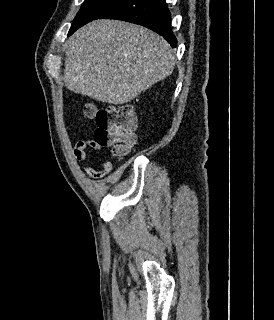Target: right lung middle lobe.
<instances>
[{"label": "right lung middle lobe", "instance_id": "dd1d6c3e", "mask_svg": "<svg viewBox=\"0 0 274 320\" xmlns=\"http://www.w3.org/2000/svg\"><path fill=\"white\" fill-rule=\"evenodd\" d=\"M121 0H85L79 12L73 20L69 34L83 26L84 24L96 19L105 11L114 7Z\"/></svg>", "mask_w": 274, "mask_h": 320}]
</instances>
